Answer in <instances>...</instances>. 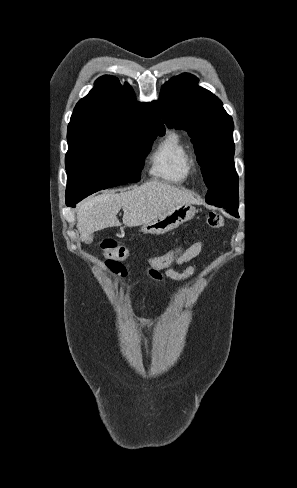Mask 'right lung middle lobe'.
<instances>
[{
	"label": "right lung middle lobe",
	"mask_w": 297,
	"mask_h": 488,
	"mask_svg": "<svg viewBox=\"0 0 297 488\" xmlns=\"http://www.w3.org/2000/svg\"><path fill=\"white\" fill-rule=\"evenodd\" d=\"M157 135L164 134L153 127H141L124 136L68 144L66 205L75 207L101 189L138 182Z\"/></svg>",
	"instance_id": "right-lung-middle-lobe-1"
}]
</instances>
